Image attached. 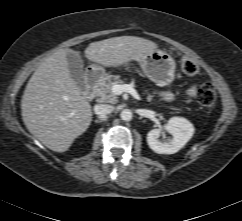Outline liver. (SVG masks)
<instances>
[{"label": "liver", "mask_w": 242, "mask_h": 221, "mask_svg": "<svg viewBox=\"0 0 242 221\" xmlns=\"http://www.w3.org/2000/svg\"><path fill=\"white\" fill-rule=\"evenodd\" d=\"M157 48L156 43L144 38L120 36L89 44L85 57L103 66L119 67L130 61L140 62ZM68 52L75 51L59 49L37 67L21 102L22 119L28 131L59 153L67 151L92 121L91 105L70 75Z\"/></svg>", "instance_id": "liver-1"}]
</instances>
